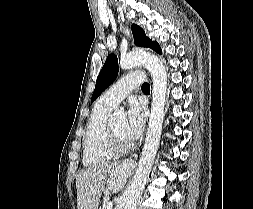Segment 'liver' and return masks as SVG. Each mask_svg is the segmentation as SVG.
Instances as JSON below:
<instances>
[{"label": "liver", "mask_w": 253, "mask_h": 209, "mask_svg": "<svg viewBox=\"0 0 253 209\" xmlns=\"http://www.w3.org/2000/svg\"><path fill=\"white\" fill-rule=\"evenodd\" d=\"M129 170L117 162L103 163L83 170L76 177L77 208L98 209L105 184L113 191L123 188Z\"/></svg>", "instance_id": "1"}]
</instances>
